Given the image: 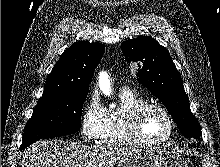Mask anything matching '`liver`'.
<instances>
[{"label": "liver", "instance_id": "liver-1", "mask_svg": "<svg viewBox=\"0 0 220 167\" xmlns=\"http://www.w3.org/2000/svg\"><path fill=\"white\" fill-rule=\"evenodd\" d=\"M129 150L127 147L40 140L24 151L21 167H113Z\"/></svg>", "mask_w": 220, "mask_h": 167}]
</instances>
